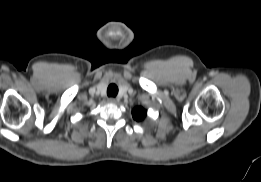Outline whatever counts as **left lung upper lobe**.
Here are the masks:
<instances>
[{
    "instance_id": "left-lung-upper-lobe-1",
    "label": "left lung upper lobe",
    "mask_w": 261,
    "mask_h": 182,
    "mask_svg": "<svg viewBox=\"0 0 261 182\" xmlns=\"http://www.w3.org/2000/svg\"><path fill=\"white\" fill-rule=\"evenodd\" d=\"M133 118L137 121H141L146 117V110L142 107H137L132 111Z\"/></svg>"
}]
</instances>
